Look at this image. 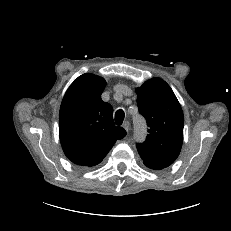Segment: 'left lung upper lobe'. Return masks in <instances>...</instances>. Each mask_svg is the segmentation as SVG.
Wrapping results in <instances>:
<instances>
[{
	"label": "left lung upper lobe",
	"instance_id": "obj_1",
	"mask_svg": "<svg viewBox=\"0 0 231 231\" xmlns=\"http://www.w3.org/2000/svg\"><path fill=\"white\" fill-rule=\"evenodd\" d=\"M140 113L149 126L146 141L137 144L144 165L155 170L166 168L179 156L183 142L184 116L170 86L160 78L137 88Z\"/></svg>",
	"mask_w": 231,
	"mask_h": 231
}]
</instances>
